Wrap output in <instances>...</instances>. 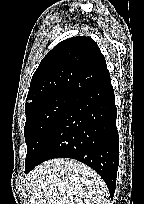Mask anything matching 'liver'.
<instances>
[{"label":"liver","instance_id":"6515ba94","mask_svg":"<svg viewBox=\"0 0 144 204\" xmlns=\"http://www.w3.org/2000/svg\"><path fill=\"white\" fill-rule=\"evenodd\" d=\"M30 204H109L101 177L73 159L46 161L27 176Z\"/></svg>","mask_w":144,"mask_h":204}]
</instances>
